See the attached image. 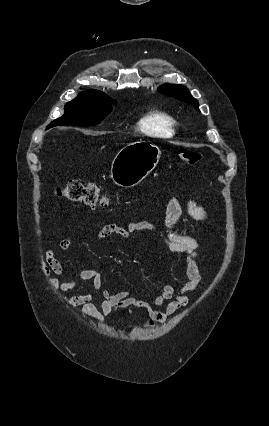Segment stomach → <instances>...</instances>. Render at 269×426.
Instances as JSON below:
<instances>
[{"instance_id":"stomach-1","label":"stomach","mask_w":269,"mask_h":426,"mask_svg":"<svg viewBox=\"0 0 269 426\" xmlns=\"http://www.w3.org/2000/svg\"><path fill=\"white\" fill-rule=\"evenodd\" d=\"M160 156L159 147L150 142L130 143L113 159L110 176L118 186H136L155 169Z\"/></svg>"}]
</instances>
